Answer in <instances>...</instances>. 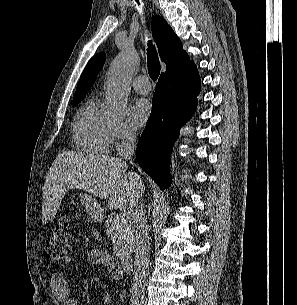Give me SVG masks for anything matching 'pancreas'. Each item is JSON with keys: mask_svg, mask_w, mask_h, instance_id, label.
Here are the masks:
<instances>
[{"mask_svg": "<svg viewBox=\"0 0 297 305\" xmlns=\"http://www.w3.org/2000/svg\"><path fill=\"white\" fill-rule=\"evenodd\" d=\"M105 230L114 245L115 256L124 258L131 254L135 243L132 216L111 213L105 223Z\"/></svg>", "mask_w": 297, "mask_h": 305, "instance_id": "pancreas-1", "label": "pancreas"}]
</instances>
